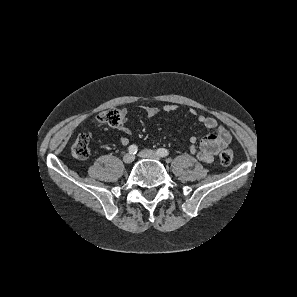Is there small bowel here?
Returning a JSON list of instances; mask_svg holds the SVG:
<instances>
[{"instance_id":"small-bowel-1","label":"small bowel","mask_w":297,"mask_h":297,"mask_svg":"<svg viewBox=\"0 0 297 297\" xmlns=\"http://www.w3.org/2000/svg\"><path fill=\"white\" fill-rule=\"evenodd\" d=\"M163 110L167 113L173 112L176 110V105L167 104L163 107ZM145 112L149 118H153L159 114L160 109L157 107H148ZM126 113L127 110L123 109V117L126 115ZM189 113L195 116L197 120L207 129L213 131L202 139L199 148L196 147V140L192 137L190 139L189 151L191 154L197 155L201 161L205 163H211L219 151L230 143L231 136L227 130L218 126V122L214 117L198 114L195 109H191ZM118 129L125 134L123 137H121L120 143L122 145H128V135L131 134L130 128L125 124H121Z\"/></svg>"}]
</instances>
